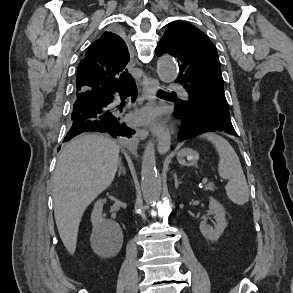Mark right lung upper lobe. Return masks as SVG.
Returning <instances> with one entry per match:
<instances>
[{"label":"right lung upper lobe","mask_w":293,"mask_h":293,"mask_svg":"<svg viewBox=\"0 0 293 293\" xmlns=\"http://www.w3.org/2000/svg\"><path fill=\"white\" fill-rule=\"evenodd\" d=\"M130 61L124 40L114 32H105L81 60L76 79L77 91L98 88L120 89L133 78L125 67Z\"/></svg>","instance_id":"cb5924a9"}]
</instances>
